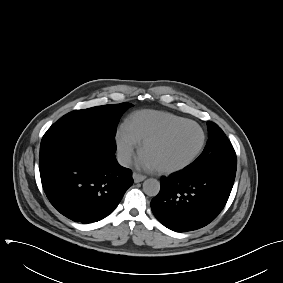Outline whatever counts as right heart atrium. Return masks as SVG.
Instances as JSON below:
<instances>
[{"label": "right heart atrium", "mask_w": 283, "mask_h": 283, "mask_svg": "<svg viewBox=\"0 0 283 283\" xmlns=\"http://www.w3.org/2000/svg\"><path fill=\"white\" fill-rule=\"evenodd\" d=\"M115 145L118 157L123 164H129L137 148V142L130 136L124 126L118 128L115 134Z\"/></svg>", "instance_id": "d8ad5b80"}]
</instances>
